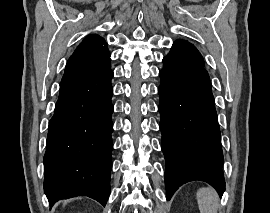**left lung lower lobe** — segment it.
Returning <instances> with one entry per match:
<instances>
[{
	"instance_id": "1",
	"label": "left lung lower lobe",
	"mask_w": 270,
	"mask_h": 213,
	"mask_svg": "<svg viewBox=\"0 0 270 213\" xmlns=\"http://www.w3.org/2000/svg\"><path fill=\"white\" fill-rule=\"evenodd\" d=\"M159 76L167 200L178 187L193 180L209 183L221 196L225 190L224 159L207 71L163 68Z\"/></svg>"
}]
</instances>
